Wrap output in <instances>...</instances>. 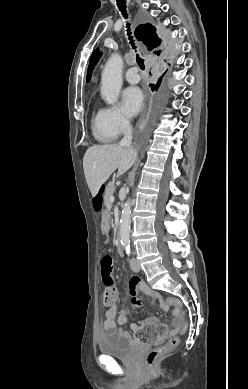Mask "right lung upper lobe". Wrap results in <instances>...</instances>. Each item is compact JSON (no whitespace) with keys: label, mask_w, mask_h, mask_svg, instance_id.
<instances>
[{"label":"right lung upper lobe","mask_w":248,"mask_h":389,"mask_svg":"<svg viewBox=\"0 0 248 389\" xmlns=\"http://www.w3.org/2000/svg\"><path fill=\"white\" fill-rule=\"evenodd\" d=\"M135 36L139 41H143L149 51L154 50V53H156L158 56L164 57L170 54V49L167 42L158 34L155 26L152 24L147 23L139 25L135 30ZM100 57L101 53L97 48L93 51L90 58L87 82L90 81L91 73Z\"/></svg>","instance_id":"1"}]
</instances>
